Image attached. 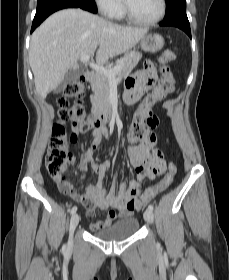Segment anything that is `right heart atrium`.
<instances>
[{
  "label": "right heart atrium",
  "mask_w": 229,
  "mask_h": 280,
  "mask_svg": "<svg viewBox=\"0 0 229 280\" xmlns=\"http://www.w3.org/2000/svg\"><path fill=\"white\" fill-rule=\"evenodd\" d=\"M94 2L107 18H114L121 9V0H94Z\"/></svg>",
  "instance_id": "right-heart-atrium-1"
}]
</instances>
